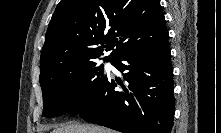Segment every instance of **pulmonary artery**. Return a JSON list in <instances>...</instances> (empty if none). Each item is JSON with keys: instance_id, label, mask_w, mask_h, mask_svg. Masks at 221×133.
Returning a JSON list of instances; mask_svg holds the SVG:
<instances>
[{"instance_id": "e3ab8cb5", "label": "pulmonary artery", "mask_w": 221, "mask_h": 133, "mask_svg": "<svg viewBox=\"0 0 221 133\" xmlns=\"http://www.w3.org/2000/svg\"><path fill=\"white\" fill-rule=\"evenodd\" d=\"M107 66H108V67H111V64H110V63H107Z\"/></svg>"}]
</instances>
